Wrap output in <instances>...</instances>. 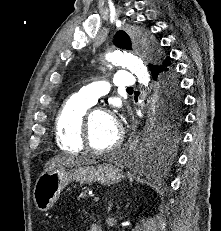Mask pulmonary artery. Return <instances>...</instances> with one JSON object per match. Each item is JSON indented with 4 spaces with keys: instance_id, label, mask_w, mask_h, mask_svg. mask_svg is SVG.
Returning <instances> with one entry per match:
<instances>
[{
    "instance_id": "e3ab8cb5",
    "label": "pulmonary artery",
    "mask_w": 221,
    "mask_h": 231,
    "mask_svg": "<svg viewBox=\"0 0 221 231\" xmlns=\"http://www.w3.org/2000/svg\"><path fill=\"white\" fill-rule=\"evenodd\" d=\"M112 84L117 88H130L136 85V80L130 72L118 71L114 74ZM109 89V81H98L81 88L75 96L89 104H94L98 98L107 94Z\"/></svg>"
}]
</instances>
